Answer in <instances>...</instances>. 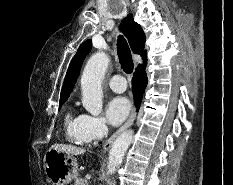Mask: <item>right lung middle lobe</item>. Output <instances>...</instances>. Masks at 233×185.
<instances>
[{
	"label": "right lung middle lobe",
	"instance_id": "right-lung-middle-lobe-1",
	"mask_svg": "<svg viewBox=\"0 0 233 185\" xmlns=\"http://www.w3.org/2000/svg\"><path fill=\"white\" fill-rule=\"evenodd\" d=\"M64 102H65V101H61V102H59V105L61 106Z\"/></svg>",
	"mask_w": 233,
	"mask_h": 185
}]
</instances>
